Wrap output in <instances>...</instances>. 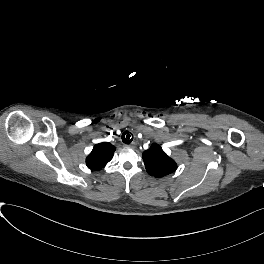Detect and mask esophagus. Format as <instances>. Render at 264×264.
<instances>
[{
  "mask_svg": "<svg viewBox=\"0 0 264 264\" xmlns=\"http://www.w3.org/2000/svg\"><path fill=\"white\" fill-rule=\"evenodd\" d=\"M126 147L134 148L135 147V142H132L130 144H126Z\"/></svg>",
  "mask_w": 264,
  "mask_h": 264,
  "instance_id": "34e87169",
  "label": "esophagus"
}]
</instances>
